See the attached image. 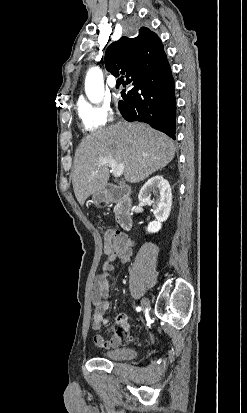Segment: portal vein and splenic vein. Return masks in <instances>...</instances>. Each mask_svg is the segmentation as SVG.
<instances>
[{"instance_id":"18ae733b","label":"portal vein and splenic vein","mask_w":247,"mask_h":413,"mask_svg":"<svg viewBox=\"0 0 247 413\" xmlns=\"http://www.w3.org/2000/svg\"><path fill=\"white\" fill-rule=\"evenodd\" d=\"M99 164L98 166H103V164H109L111 166V170L114 174V176H121L123 170H124V164L123 162H116L114 158H99L98 160Z\"/></svg>"}]
</instances>
